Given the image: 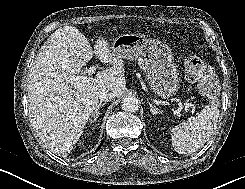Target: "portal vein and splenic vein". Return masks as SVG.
Here are the masks:
<instances>
[{
    "instance_id": "1",
    "label": "portal vein and splenic vein",
    "mask_w": 245,
    "mask_h": 189,
    "mask_svg": "<svg viewBox=\"0 0 245 189\" xmlns=\"http://www.w3.org/2000/svg\"><path fill=\"white\" fill-rule=\"evenodd\" d=\"M95 70H96V66L89 67V69L87 70L88 76H92V74L95 72ZM72 79L75 81H79L82 79V77L78 75V76L72 77ZM186 106L189 107L190 104L186 103Z\"/></svg>"
}]
</instances>
